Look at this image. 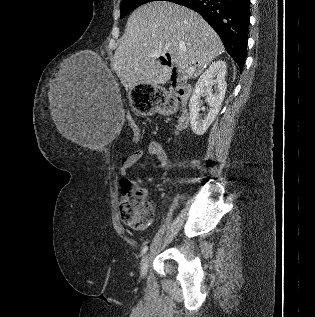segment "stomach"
Wrapping results in <instances>:
<instances>
[{
    "label": "stomach",
    "instance_id": "1",
    "mask_svg": "<svg viewBox=\"0 0 315 317\" xmlns=\"http://www.w3.org/2000/svg\"><path fill=\"white\" fill-rule=\"evenodd\" d=\"M153 95H159V88H154V84H133L130 97L134 104L135 114H156L158 102L157 97Z\"/></svg>",
    "mask_w": 315,
    "mask_h": 317
}]
</instances>
